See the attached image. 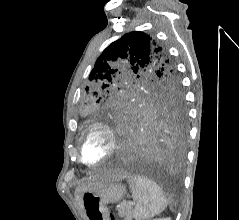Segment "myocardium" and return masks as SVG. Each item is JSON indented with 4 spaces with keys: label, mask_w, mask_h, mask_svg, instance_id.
<instances>
[{
    "label": "myocardium",
    "mask_w": 239,
    "mask_h": 220,
    "mask_svg": "<svg viewBox=\"0 0 239 220\" xmlns=\"http://www.w3.org/2000/svg\"><path fill=\"white\" fill-rule=\"evenodd\" d=\"M95 131H101L102 133H104L107 137V150L106 153L97 161L94 162H87L84 158H83V154H82V150H83V145L84 142L86 140V138L93 132ZM117 149V137L115 134V131L113 130V128L104 123V122H94L92 124H90L82 133L80 139H79V155H78V159L79 161L89 167L92 166H97L103 162H105L106 160H108L116 151Z\"/></svg>",
    "instance_id": "1"
}]
</instances>
